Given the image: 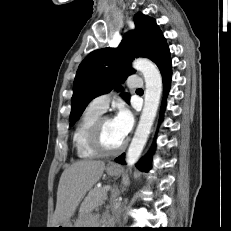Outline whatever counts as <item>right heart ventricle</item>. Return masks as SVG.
<instances>
[{"label":"right heart ventricle","instance_id":"1","mask_svg":"<svg viewBox=\"0 0 231 231\" xmlns=\"http://www.w3.org/2000/svg\"><path fill=\"white\" fill-rule=\"evenodd\" d=\"M102 112L94 109L90 105L83 112L73 132V146L80 159L91 160L99 157L89 143V133L95 121Z\"/></svg>","mask_w":231,"mask_h":231}]
</instances>
